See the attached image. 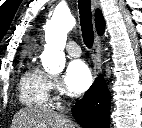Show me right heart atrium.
Segmentation results:
<instances>
[{
	"label": "right heart atrium",
	"mask_w": 142,
	"mask_h": 128,
	"mask_svg": "<svg viewBox=\"0 0 142 128\" xmlns=\"http://www.w3.org/2000/svg\"><path fill=\"white\" fill-rule=\"evenodd\" d=\"M46 80L49 92L60 93L62 91L60 82L56 77L46 75Z\"/></svg>",
	"instance_id": "obj_1"
}]
</instances>
